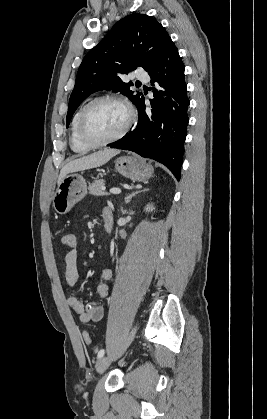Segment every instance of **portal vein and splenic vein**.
<instances>
[{"label": "portal vein and splenic vein", "instance_id": "18ae733b", "mask_svg": "<svg viewBox=\"0 0 267 419\" xmlns=\"http://www.w3.org/2000/svg\"><path fill=\"white\" fill-rule=\"evenodd\" d=\"M110 193L112 194H120L121 190L119 188H112L110 189Z\"/></svg>", "mask_w": 267, "mask_h": 419}]
</instances>
